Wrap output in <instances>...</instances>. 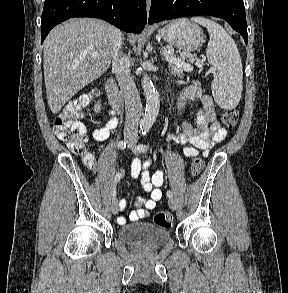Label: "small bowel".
<instances>
[{"mask_svg": "<svg viewBox=\"0 0 288 293\" xmlns=\"http://www.w3.org/2000/svg\"><path fill=\"white\" fill-rule=\"evenodd\" d=\"M190 99H200L203 105V108L197 114L195 124L192 125L187 121H183L182 130L179 133L170 134L168 139L177 144L185 145L183 154L187 158H194L199 154V151H203L207 155L225 139L227 131L216 119L212 98L202 92L197 81H193L181 92L177 103L180 113L183 112L186 101ZM116 125V119H110L105 126L93 131V138L97 141L106 140ZM149 167L148 162L142 163L139 159H134L131 164L132 177L139 178L142 188L150 195L148 199L143 197L136 199L135 205L137 209L129 215L130 221L133 222L148 216L149 211L156 207L163 196L161 187L164 183V174L161 170H155L151 173ZM126 204V200L121 199V209H124ZM118 223L125 224L126 219L119 217Z\"/></svg>", "mask_w": 288, "mask_h": 293, "instance_id": "1", "label": "small bowel"}]
</instances>
